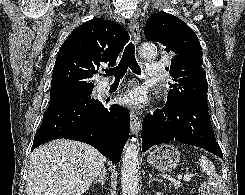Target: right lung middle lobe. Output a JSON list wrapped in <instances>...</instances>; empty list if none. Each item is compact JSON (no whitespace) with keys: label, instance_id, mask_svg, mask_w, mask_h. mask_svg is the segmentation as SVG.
Here are the masks:
<instances>
[{"label":"right lung middle lobe","instance_id":"dd1d6c3e","mask_svg":"<svg viewBox=\"0 0 245 195\" xmlns=\"http://www.w3.org/2000/svg\"><path fill=\"white\" fill-rule=\"evenodd\" d=\"M93 88H77L50 94V101L61 99V98H72L91 94Z\"/></svg>","mask_w":245,"mask_h":195}]
</instances>
